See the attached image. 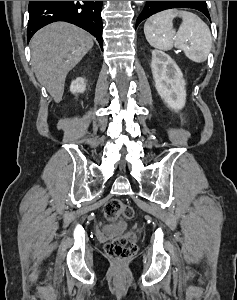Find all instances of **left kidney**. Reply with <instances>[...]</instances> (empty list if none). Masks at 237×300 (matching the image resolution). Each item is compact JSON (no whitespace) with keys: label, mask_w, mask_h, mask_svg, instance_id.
Wrapping results in <instances>:
<instances>
[{"label":"left kidney","mask_w":237,"mask_h":300,"mask_svg":"<svg viewBox=\"0 0 237 300\" xmlns=\"http://www.w3.org/2000/svg\"><path fill=\"white\" fill-rule=\"evenodd\" d=\"M151 69L158 95L169 109L181 111L186 103V83L181 69L169 55L158 49L152 51Z\"/></svg>","instance_id":"5707ae66"}]
</instances>
